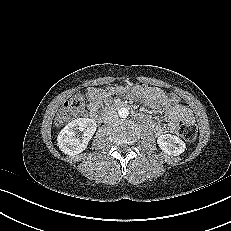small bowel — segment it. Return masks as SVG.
<instances>
[{
	"label": "small bowel",
	"mask_w": 231,
	"mask_h": 231,
	"mask_svg": "<svg viewBox=\"0 0 231 231\" xmlns=\"http://www.w3.org/2000/svg\"><path fill=\"white\" fill-rule=\"evenodd\" d=\"M124 87H112L108 90L89 89L87 96L89 99V110L94 113L98 110L105 99L126 91ZM134 98L141 100L152 110L162 108L164 110V120H157L149 115L141 114V118L146 122L156 135L174 133L180 124H193L194 116L192 111L182 105H173L169 102L165 93L155 87L135 86L131 88Z\"/></svg>",
	"instance_id": "c3829d8e"
}]
</instances>
